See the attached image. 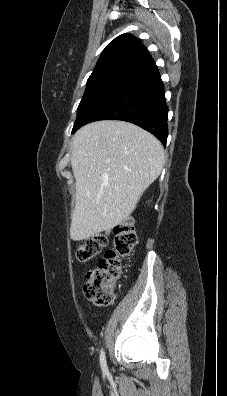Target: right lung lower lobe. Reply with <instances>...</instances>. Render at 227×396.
<instances>
[{"mask_svg":"<svg viewBox=\"0 0 227 396\" xmlns=\"http://www.w3.org/2000/svg\"><path fill=\"white\" fill-rule=\"evenodd\" d=\"M158 68L150 60L129 75L96 105L81 126L98 120H122L140 126L155 135L163 145L168 136V108Z\"/></svg>","mask_w":227,"mask_h":396,"instance_id":"obj_1","label":"right lung lower lobe"}]
</instances>
